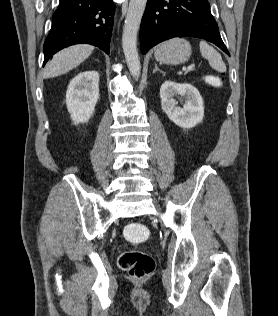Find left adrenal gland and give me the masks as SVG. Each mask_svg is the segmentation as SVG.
<instances>
[{"label": "left adrenal gland", "instance_id": "1", "mask_svg": "<svg viewBox=\"0 0 278 316\" xmlns=\"http://www.w3.org/2000/svg\"><path fill=\"white\" fill-rule=\"evenodd\" d=\"M156 71H159L160 73H162L163 75H165V72H163L162 70H160L157 66V64L155 63V68L153 70V73H155Z\"/></svg>", "mask_w": 278, "mask_h": 316}]
</instances>
